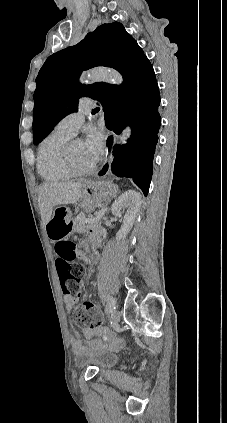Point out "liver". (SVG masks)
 <instances>
[{"label": "liver", "instance_id": "1", "mask_svg": "<svg viewBox=\"0 0 227 423\" xmlns=\"http://www.w3.org/2000/svg\"><path fill=\"white\" fill-rule=\"evenodd\" d=\"M88 182H45L38 192L39 210L45 221L52 219L55 206L76 204L82 196V188Z\"/></svg>", "mask_w": 227, "mask_h": 423}]
</instances>
